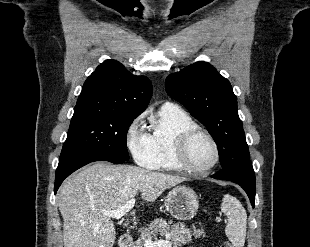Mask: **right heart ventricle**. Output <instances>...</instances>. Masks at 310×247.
<instances>
[{
	"mask_svg": "<svg viewBox=\"0 0 310 247\" xmlns=\"http://www.w3.org/2000/svg\"><path fill=\"white\" fill-rule=\"evenodd\" d=\"M198 127L195 120L181 108L171 105L162 106L152 119L149 142L153 166L150 169L180 171L176 157V144L179 134L189 128Z\"/></svg>",
	"mask_w": 310,
	"mask_h": 247,
	"instance_id": "right-heart-ventricle-1",
	"label": "right heart ventricle"
}]
</instances>
